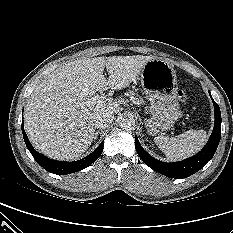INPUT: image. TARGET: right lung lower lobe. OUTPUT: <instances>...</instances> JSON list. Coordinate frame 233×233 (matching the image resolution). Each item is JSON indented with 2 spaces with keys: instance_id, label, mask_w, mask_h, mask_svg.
Masks as SVG:
<instances>
[{
  "instance_id": "obj_1",
  "label": "right lung lower lobe",
  "mask_w": 233,
  "mask_h": 233,
  "mask_svg": "<svg viewBox=\"0 0 233 233\" xmlns=\"http://www.w3.org/2000/svg\"><path fill=\"white\" fill-rule=\"evenodd\" d=\"M22 133H23V138H24V141H25V144L28 150L30 151L34 159L38 162V164L42 166L48 172H51L57 175L70 174V173L77 172V171H80L88 167L100 157L103 151V142H101L98 148L94 152H92L90 155L86 156L83 159L73 161V162L55 161L38 153L32 147L23 129V125H22Z\"/></svg>"
}]
</instances>
